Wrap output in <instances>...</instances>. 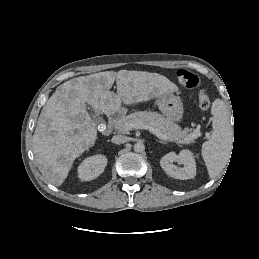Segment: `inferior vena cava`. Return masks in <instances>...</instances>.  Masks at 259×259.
Instances as JSON below:
<instances>
[{
	"label": "inferior vena cava",
	"instance_id": "602c4592",
	"mask_svg": "<svg viewBox=\"0 0 259 259\" xmlns=\"http://www.w3.org/2000/svg\"><path fill=\"white\" fill-rule=\"evenodd\" d=\"M111 141L114 144H123L127 142V137L123 135H115L112 137Z\"/></svg>",
	"mask_w": 259,
	"mask_h": 259
}]
</instances>
